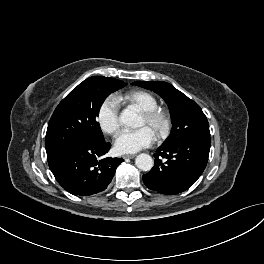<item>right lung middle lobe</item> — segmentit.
<instances>
[{"mask_svg":"<svg viewBox=\"0 0 264 264\" xmlns=\"http://www.w3.org/2000/svg\"><path fill=\"white\" fill-rule=\"evenodd\" d=\"M125 85L114 78L94 76L75 87L59 103L49 121L46 152L74 143L105 142L96 117L106 97Z\"/></svg>","mask_w":264,"mask_h":264,"instance_id":"1","label":"right lung middle lobe"}]
</instances>
